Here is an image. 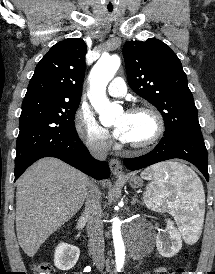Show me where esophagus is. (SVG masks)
<instances>
[{
	"label": "esophagus",
	"instance_id": "esophagus-1",
	"mask_svg": "<svg viewBox=\"0 0 215 274\" xmlns=\"http://www.w3.org/2000/svg\"><path fill=\"white\" fill-rule=\"evenodd\" d=\"M109 166H110V170L111 172L119 177V176H123V168H122V165H121V162L118 160V159H111L110 162H109Z\"/></svg>",
	"mask_w": 215,
	"mask_h": 274
}]
</instances>
